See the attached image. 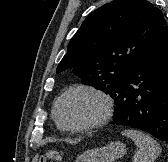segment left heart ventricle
Returning a JSON list of instances; mask_svg holds the SVG:
<instances>
[{
    "label": "left heart ventricle",
    "instance_id": "obj_1",
    "mask_svg": "<svg viewBox=\"0 0 168 162\" xmlns=\"http://www.w3.org/2000/svg\"><path fill=\"white\" fill-rule=\"evenodd\" d=\"M102 111V104L94 95L85 92L66 97L59 107L60 120L64 125L77 126L95 119Z\"/></svg>",
    "mask_w": 168,
    "mask_h": 162
}]
</instances>
